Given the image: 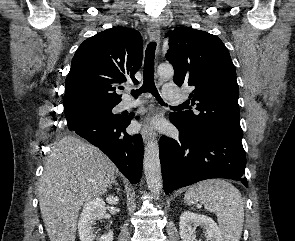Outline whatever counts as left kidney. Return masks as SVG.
Masks as SVG:
<instances>
[{
  "instance_id": "5707ae66",
  "label": "left kidney",
  "mask_w": 295,
  "mask_h": 241,
  "mask_svg": "<svg viewBox=\"0 0 295 241\" xmlns=\"http://www.w3.org/2000/svg\"><path fill=\"white\" fill-rule=\"evenodd\" d=\"M197 226L206 230L207 241H224L219 227L212 218L190 211H185L180 216L179 231L182 241H197L195 240Z\"/></svg>"
}]
</instances>
